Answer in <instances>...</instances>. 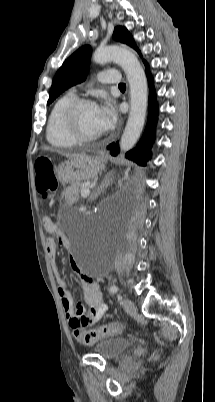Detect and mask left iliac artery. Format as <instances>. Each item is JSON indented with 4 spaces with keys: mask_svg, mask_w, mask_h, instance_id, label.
<instances>
[{
    "mask_svg": "<svg viewBox=\"0 0 215 402\" xmlns=\"http://www.w3.org/2000/svg\"><path fill=\"white\" fill-rule=\"evenodd\" d=\"M118 291V287L116 285H113L110 287V293L114 294L117 293ZM118 299H122V297L120 295H118Z\"/></svg>",
    "mask_w": 215,
    "mask_h": 402,
    "instance_id": "obj_1",
    "label": "left iliac artery"
}]
</instances>
